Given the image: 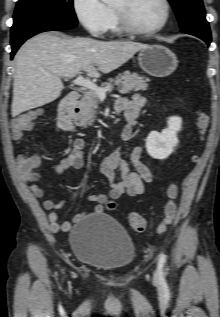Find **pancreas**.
I'll use <instances>...</instances> for the list:
<instances>
[{
  "label": "pancreas",
  "instance_id": "1",
  "mask_svg": "<svg viewBox=\"0 0 220 317\" xmlns=\"http://www.w3.org/2000/svg\"><path fill=\"white\" fill-rule=\"evenodd\" d=\"M148 81V78L140 76L137 73L125 72L123 74H119L116 79H109V82L103 83L102 88L110 87L113 82L118 86V91L121 94H126L132 90H146L148 87ZM97 107V94L91 90L85 92L80 102V111L75 118L76 125L83 128L93 125Z\"/></svg>",
  "mask_w": 220,
  "mask_h": 317
}]
</instances>
